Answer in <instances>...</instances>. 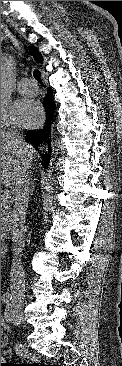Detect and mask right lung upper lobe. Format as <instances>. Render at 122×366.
Instances as JSON below:
<instances>
[{"instance_id":"1","label":"right lung upper lobe","mask_w":122,"mask_h":366,"mask_svg":"<svg viewBox=\"0 0 122 366\" xmlns=\"http://www.w3.org/2000/svg\"><path fill=\"white\" fill-rule=\"evenodd\" d=\"M30 54L33 56L35 61H37L38 63H41V64L43 63V57L36 47L32 46L30 48Z\"/></svg>"}]
</instances>
